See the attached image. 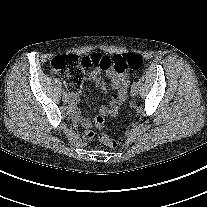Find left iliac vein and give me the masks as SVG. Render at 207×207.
<instances>
[{"label": "left iliac vein", "instance_id": "left-iliac-vein-1", "mask_svg": "<svg viewBox=\"0 0 207 207\" xmlns=\"http://www.w3.org/2000/svg\"><path fill=\"white\" fill-rule=\"evenodd\" d=\"M130 94H131L132 97H136L138 95L137 87H132L131 91H130Z\"/></svg>", "mask_w": 207, "mask_h": 207}]
</instances>
